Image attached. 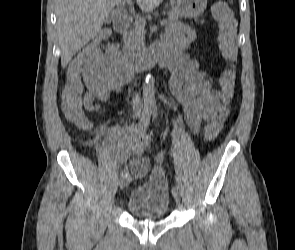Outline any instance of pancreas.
Masks as SVG:
<instances>
[{
    "label": "pancreas",
    "mask_w": 295,
    "mask_h": 250,
    "mask_svg": "<svg viewBox=\"0 0 295 250\" xmlns=\"http://www.w3.org/2000/svg\"><path fill=\"white\" fill-rule=\"evenodd\" d=\"M166 14L168 15L166 26H171L179 22V15L175 14L172 11H169ZM144 38V26L140 25L136 20L133 24L132 29L125 35V47L130 55L135 56L136 54L142 52L145 46Z\"/></svg>",
    "instance_id": "obj_1"
}]
</instances>
